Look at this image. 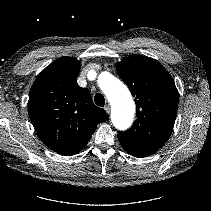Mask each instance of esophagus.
<instances>
[{
	"instance_id": "obj_1",
	"label": "esophagus",
	"mask_w": 211,
	"mask_h": 211,
	"mask_svg": "<svg viewBox=\"0 0 211 211\" xmlns=\"http://www.w3.org/2000/svg\"><path fill=\"white\" fill-rule=\"evenodd\" d=\"M104 110L109 114L110 113V106L109 105H106L104 107Z\"/></svg>"
}]
</instances>
